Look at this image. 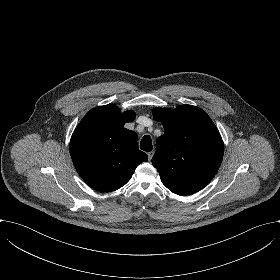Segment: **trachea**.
<instances>
[{
  "label": "trachea",
  "instance_id": "3493384b",
  "mask_svg": "<svg viewBox=\"0 0 280 280\" xmlns=\"http://www.w3.org/2000/svg\"><path fill=\"white\" fill-rule=\"evenodd\" d=\"M141 150L150 152L152 150V140L149 135H145L140 143Z\"/></svg>",
  "mask_w": 280,
  "mask_h": 280
}]
</instances>
